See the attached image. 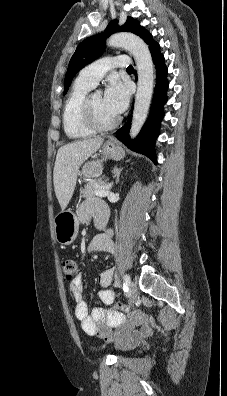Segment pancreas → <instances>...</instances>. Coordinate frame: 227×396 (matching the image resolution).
Instances as JSON below:
<instances>
[{
  "instance_id": "cf45deb5",
  "label": "pancreas",
  "mask_w": 227,
  "mask_h": 396,
  "mask_svg": "<svg viewBox=\"0 0 227 396\" xmlns=\"http://www.w3.org/2000/svg\"><path fill=\"white\" fill-rule=\"evenodd\" d=\"M108 186L104 182H98L96 180H89L82 191V196L84 198H91L95 196V191L101 190Z\"/></svg>"
}]
</instances>
